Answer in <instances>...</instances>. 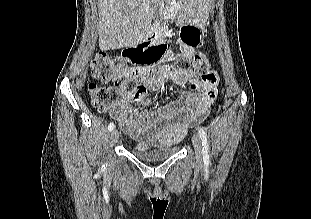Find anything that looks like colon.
Wrapping results in <instances>:
<instances>
[{"mask_svg": "<svg viewBox=\"0 0 311 219\" xmlns=\"http://www.w3.org/2000/svg\"><path fill=\"white\" fill-rule=\"evenodd\" d=\"M181 39L193 44H197L198 41L191 26L183 28ZM129 49L126 50L128 56L138 64H151L157 61L165 51L164 48H160L149 54L144 52L141 55H134L129 52ZM178 63L180 70L187 74H206L209 69L208 59L203 54L189 58L183 57ZM90 68L93 77L103 83V85L96 83L88 85L93 105L99 109L116 107L120 103V93L139 100L146 92L143 84L135 83L133 69L128 67L124 59L113 58L100 52L92 59ZM192 87L195 89L196 85L192 84Z\"/></svg>", "mask_w": 311, "mask_h": 219, "instance_id": "obj_1", "label": "colon"}]
</instances>
